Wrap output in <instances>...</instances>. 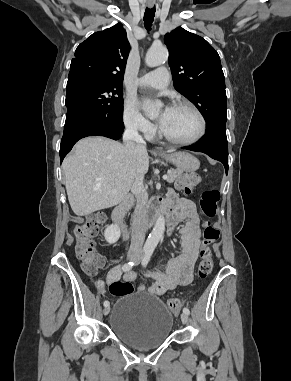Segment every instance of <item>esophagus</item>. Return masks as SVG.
<instances>
[{"mask_svg":"<svg viewBox=\"0 0 291 381\" xmlns=\"http://www.w3.org/2000/svg\"><path fill=\"white\" fill-rule=\"evenodd\" d=\"M148 6H149V7H152V6H153V3H152V2H148Z\"/></svg>","mask_w":291,"mask_h":381,"instance_id":"1","label":"esophagus"}]
</instances>
